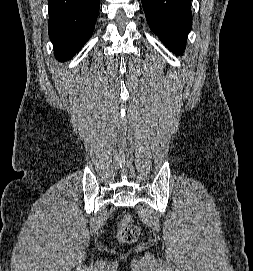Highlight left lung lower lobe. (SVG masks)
<instances>
[{
    "instance_id": "left-lung-lower-lobe-1",
    "label": "left lung lower lobe",
    "mask_w": 253,
    "mask_h": 271,
    "mask_svg": "<svg viewBox=\"0 0 253 271\" xmlns=\"http://www.w3.org/2000/svg\"><path fill=\"white\" fill-rule=\"evenodd\" d=\"M191 0H142L151 30L174 53L181 54L192 27Z\"/></svg>"
}]
</instances>
